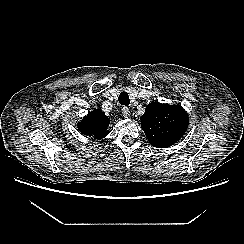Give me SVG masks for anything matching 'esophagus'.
Listing matches in <instances>:
<instances>
[{
  "label": "esophagus",
  "mask_w": 244,
  "mask_h": 244,
  "mask_svg": "<svg viewBox=\"0 0 244 244\" xmlns=\"http://www.w3.org/2000/svg\"><path fill=\"white\" fill-rule=\"evenodd\" d=\"M122 115L125 117V118H129L130 116V110L127 108V107H123L122 110Z\"/></svg>",
  "instance_id": "34e87169"
}]
</instances>
